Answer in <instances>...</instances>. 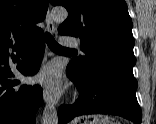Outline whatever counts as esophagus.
Instances as JSON below:
<instances>
[{"label":"esophagus","mask_w":156,"mask_h":124,"mask_svg":"<svg viewBox=\"0 0 156 124\" xmlns=\"http://www.w3.org/2000/svg\"><path fill=\"white\" fill-rule=\"evenodd\" d=\"M45 21H46L48 32L54 33L55 32V24H54L53 19L51 17L50 7L48 8ZM43 98H44V101L46 103H52L53 105H57V102L52 97V95L48 92L47 89L43 90Z\"/></svg>","instance_id":"34e87169"}]
</instances>
